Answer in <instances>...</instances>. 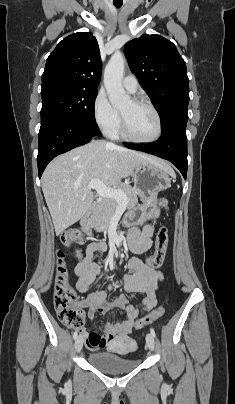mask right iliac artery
Instances as JSON below:
<instances>
[{
  "instance_id": "obj_1",
  "label": "right iliac artery",
  "mask_w": 235,
  "mask_h": 404,
  "mask_svg": "<svg viewBox=\"0 0 235 404\" xmlns=\"http://www.w3.org/2000/svg\"><path fill=\"white\" fill-rule=\"evenodd\" d=\"M77 335H78V331L76 330V331L73 333V338L76 339V338H77Z\"/></svg>"
}]
</instances>
